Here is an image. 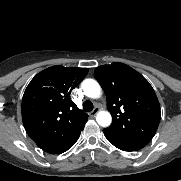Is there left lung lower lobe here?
<instances>
[{"label":"left lung lower lobe","mask_w":181,"mask_h":181,"mask_svg":"<svg viewBox=\"0 0 181 181\" xmlns=\"http://www.w3.org/2000/svg\"><path fill=\"white\" fill-rule=\"evenodd\" d=\"M106 138L115 147H117L123 151H128V152L140 150L147 145L146 143H142V142L122 141V140L112 138L110 136H106Z\"/></svg>","instance_id":"left-lung-lower-lobe-1"}]
</instances>
